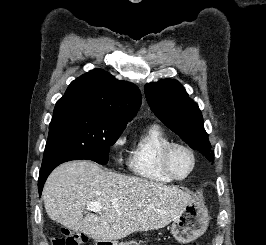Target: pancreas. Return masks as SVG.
<instances>
[{
  "mask_svg": "<svg viewBox=\"0 0 266 245\" xmlns=\"http://www.w3.org/2000/svg\"><path fill=\"white\" fill-rule=\"evenodd\" d=\"M132 243H134V241H130V243H123V245H132ZM134 245H138V243H134Z\"/></svg>",
  "mask_w": 266,
  "mask_h": 245,
  "instance_id": "1",
  "label": "pancreas"
}]
</instances>
